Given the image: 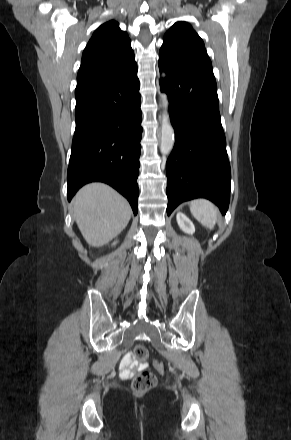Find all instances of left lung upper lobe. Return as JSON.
Instances as JSON below:
<instances>
[{
  "instance_id": "obj_1",
  "label": "left lung upper lobe",
  "mask_w": 291,
  "mask_h": 440,
  "mask_svg": "<svg viewBox=\"0 0 291 440\" xmlns=\"http://www.w3.org/2000/svg\"><path fill=\"white\" fill-rule=\"evenodd\" d=\"M159 56L176 66L213 75L202 39L186 22H176L166 32Z\"/></svg>"
}]
</instances>
